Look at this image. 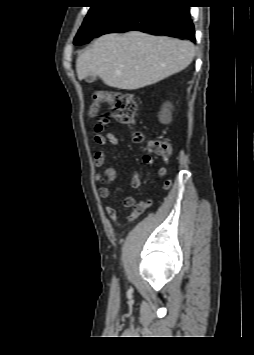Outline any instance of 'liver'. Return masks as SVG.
I'll use <instances>...</instances> for the list:
<instances>
[{
    "mask_svg": "<svg viewBox=\"0 0 254 355\" xmlns=\"http://www.w3.org/2000/svg\"><path fill=\"white\" fill-rule=\"evenodd\" d=\"M194 56L190 41L138 31L107 34L77 58L76 72L79 80L95 75L110 87L136 90L184 70Z\"/></svg>",
    "mask_w": 254,
    "mask_h": 355,
    "instance_id": "liver-1",
    "label": "liver"
}]
</instances>
